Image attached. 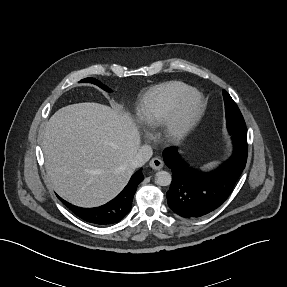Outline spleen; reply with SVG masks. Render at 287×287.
I'll return each instance as SVG.
<instances>
[{"label": "spleen", "instance_id": "spleen-1", "mask_svg": "<svg viewBox=\"0 0 287 287\" xmlns=\"http://www.w3.org/2000/svg\"><path fill=\"white\" fill-rule=\"evenodd\" d=\"M217 164H218L217 161H216V162H210V163L204 165V166L202 167V169H210V168L215 167Z\"/></svg>", "mask_w": 287, "mask_h": 287}]
</instances>
